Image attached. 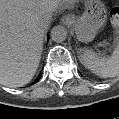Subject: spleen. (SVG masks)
Here are the masks:
<instances>
[{
	"label": "spleen",
	"mask_w": 119,
	"mask_h": 119,
	"mask_svg": "<svg viewBox=\"0 0 119 119\" xmlns=\"http://www.w3.org/2000/svg\"><path fill=\"white\" fill-rule=\"evenodd\" d=\"M80 62L92 73L101 78H113L119 75V42L110 58L97 55L91 50H84L79 55Z\"/></svg>",
	"instance_id": "1"
}]
</instances>
